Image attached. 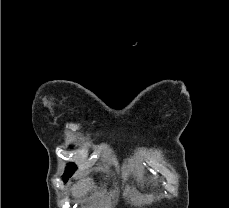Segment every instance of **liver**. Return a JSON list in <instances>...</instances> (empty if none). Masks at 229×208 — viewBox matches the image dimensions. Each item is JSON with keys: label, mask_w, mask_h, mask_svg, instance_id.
<instances>
[{"label": "liver", "mask_w": 229, "mask_h": 208, "mask_svg": "<svg viewBox=\"0 0 229 208\" xmlns=\"http://www.w3.org/2000/svg\"><path fill=\"white\" fill-rule=\"evenodd\" d=\"M90 180H80L77 184H74L72 188L73 196H82L84 192H88L91 184H89Z\"/></svg>", "instance_id": "liver-1"}]
</instances>
